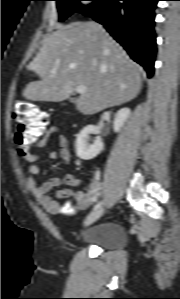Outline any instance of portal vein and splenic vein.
I'll return each instance as SVG.
<instances>
[{"mask_svg":"<svg viewBox=\"0 0 180 299\" xmlns=\"http://www.w3.org/2000/svg\"><path fill=\"white\" fill-rule=\"evenodd\" d=\"M76 92L78 94H84L86 92V88L84 86H77Z\"/></svg>","mask_w":180,"mask_h":299,"instance_id":"obj_1","label":"portal vein and splenic vein"}]
</instances>
